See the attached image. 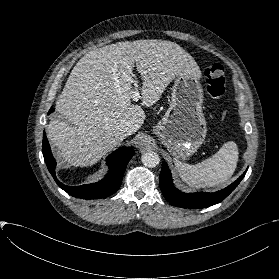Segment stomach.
Returning <instances> with one entry per match:
<instances>
[{"instance_id": "0dacf381", "label": "stomach", "mask_w": 279, "mask_h": 279, "mask_svg": "<svg viewBox=\"0 0 279 279\" xmlns=\"http://www.w3.org/2000/svg\"><path fill=\"white\" fill-rule=\"evenodd\" d=\"M203 101V88L195 76L181 73L175 77L169 108L153 127V133L173 156L190 157L204 142L207 125Z\"/></svg>"}]
</instances>
